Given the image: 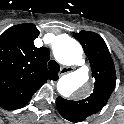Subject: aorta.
Returning a JSON list of instances; mask_svg holds the SVG:
<instances>
[{
    "label": "aorta",
    "instance_id": "obj_1",
    "mask_svg": "<svg viewBox=\"0 0 124 124\" xmlns=\"http://www.w3.org/2000/svg\"><path fill=\"white\" fill-rule=\"evenodd\" d=\"M53 53L55 58L64 65L82 66L58 80V93L63 97H70L83 87L89 79V70L84 66L82 47L78 41L70 36L59 35L53 44Z\"/></svg>",
    "mask_w": 124,
    "mask_h": 124
}]
</instances>
